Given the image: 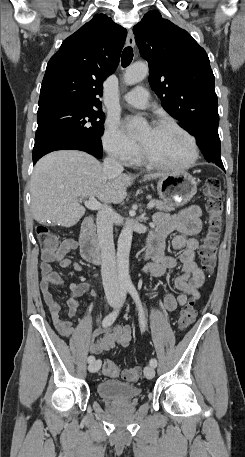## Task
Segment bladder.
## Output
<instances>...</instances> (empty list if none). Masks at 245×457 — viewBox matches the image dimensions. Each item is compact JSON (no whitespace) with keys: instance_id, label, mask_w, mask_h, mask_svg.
I'll return each mask as SVG.
<instances>
[{"instance_id":"1","label":"bladder","mask_w":245,"mask_h":457,"mask_svg":"<svg viewBox=\"0 0 245 457\" xmlns=\"http://www.w3.org/2000/svg\"><path fill=\"white\" fill-rule=\"evenodd\" d=\"M97 391L98 396L113 398L116 400V403L126 402L127 400L132 401V399L137 398L141 394V391L137 387L117 380H107L98 384Z\"/></svg>"}]
</instances>
